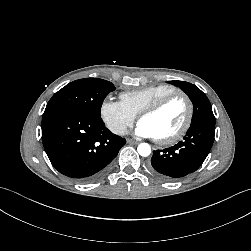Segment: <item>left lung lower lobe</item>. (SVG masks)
<instances>
[{
  "label": "left lung lower lobe",
  "mask_w": 251,
  "mask_h": 251,
  "mask_svg": "<svg viewBox=\"0 0 251 251\" xmlns=\"http://www.w3.org/2000/svg\"><path fill=\"white\" fill-rule=\"evenodd\" d=\"M215 136V122L191 124L183 140L163 150L153 151L149 164L155 176L173 181L196 171L206 159Z\"/></svg>",
  "instance_id": "1"
}]
</instances>
